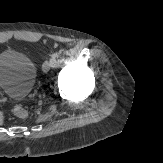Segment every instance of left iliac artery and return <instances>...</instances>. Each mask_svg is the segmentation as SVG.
Returning <instances> with one entry per match:
<instances>
[{
    "label": "left iliac artery",
    "instance_id": "obj_1",
    "mask_svg": "<svg viewBox=\"0 0 163 163\" xmlns=\"http://www.w3.org/2000/svg\"><path fill=\"white\" fill-rule=\"evenodd\" d=\"M52 60H53V65H54L55 62H56V54H53V55H52Z\"/></svg>",
    "mask_w": 163,
    "mask_h": 163
}]
</instances>
